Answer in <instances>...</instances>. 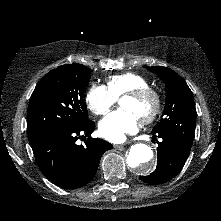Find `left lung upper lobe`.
<instances>
[{"instance_id":"left-lung-upper-lobe-1","label":"left lung upper lobe","mask_w":221,"mask_h":221,"mask_svg":"<svg viewBox=\"0 0 221 221\" xmlns=\"http://www.w3.org/2000/svg\"><path fill=\"white\" fill-rule=\"evenodd\" d=\"M157 74L165 83L166 105L163 117L152 132L167 133L192 146L197 112L193 94L187 83L173 70L162 66H144Z\"/></svg>"}]
</instances>
